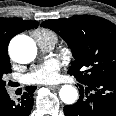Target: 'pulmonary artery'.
Segmentation results:
<instances>
[{"mask_svg":"<svg viewBox=\"0 0 116 116\" xmlns=\"http://www.w3.org/2000/svg\"><path fill=\"white\" fill-rule=\"evenodd\" d=\"M39 47L43 50V51H49L51 50L54 45H55V42H52V41H40V42H37Z\"/></svg>","mask_w":116,"mask_h":116,"instance_id":"pulmonary-artery-1","label":"pulmonary artery"}]
</instances>
